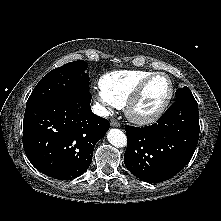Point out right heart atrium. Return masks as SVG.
Instances as JSON below:
<instances>
[{
  "label": "right heart atrium",
  "mask_w": 221,
  "mask_h": 221,
  "mask_svg": "<svg viewBox=\"0 0 221 221\" xmlns=\"http://www.w3.org/2000/svg\"><path fill=\"white\" fill-rule=\"evenodd\" d=\"M93 96L98 103L99 110L102 114H108L113 109L118 108V105L111 98H109L100 88L94 90Z\"/></svg>",
  "instance_id": "1"
}]
</instances>
